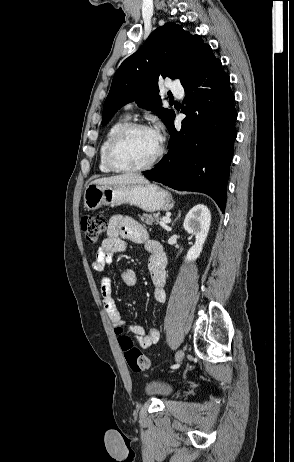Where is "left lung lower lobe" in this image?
I'll return each instance as SVG.
<instances>
[{"mask_svg": "<svg viewBox=\"0 0 294 462\" xmlns=\"http://www.w3.org/2000/svg\"><path fill=\"white\" fill-rule=\"evenodd\" d=\"M186 114L179 132L174 118L169 151L160 163L143 175L181 191L211 196L225 211L227 181L237 132L234 94L221 61L213 59L194 78L183 84Z\"/></svg>", "mask_w": 294, "mask_h": 462, "instance_id": "0a47b994", "label": "left lung lower lobe"}]
</instances>
